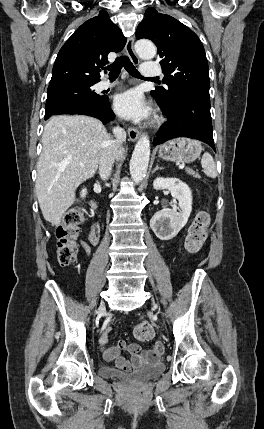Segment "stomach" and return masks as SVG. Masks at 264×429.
<instances>
[{
  "label": "stomach",
  "mask_w": 264,
  "mask_h": 429,
  "mask_svg": "<svg viewBox=\"0 0 264 429\" xmlns=\"http://www.w3.org/2000/svg\"><path fill=\"white\" fill-rule=\"evenodd\" d=\"M202 151L200 141L190 138H175L162 144L158 156L162 160L189 163L196 160Z\"/></svg>",
  "instance_id": "stomach-1"
}]
</instances>
